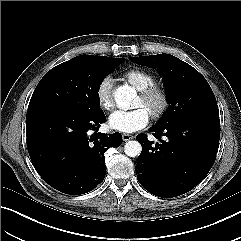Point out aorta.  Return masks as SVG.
<instances>
[{
    "instance_id": "1",
    "label": "aorta",
    "mask_w": 241,
    "mask_h": 241,
    "mask_svg": "<svg viewBox=\"0 0 241 241\" xmlns=\"http://www.w3.org/2000/svg\"><path fill=\"white\" fill-rule=\"evenodd\" d=\"M135 97V89L128 85L119 86L114 92L115 102L117 106L123 110L131 109ZM141 151V144L136 140L126 142L124 146V152L129 157L139 156Z\"/></svg>"
}]
</instances>
